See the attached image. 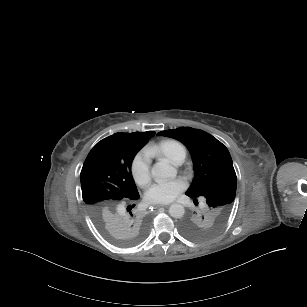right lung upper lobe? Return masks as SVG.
<instances>
[{
	"mask_svg": "<svg viewBox=\"0 0 307 307\" xmlns=\"http://www.w3.org/2000/svg\"><path fill=\"white\" fill-rule=\"evenodd\" d=\"M153 135L154 132L115 133L89 152L84 165L95 164L115 180L118 189L110 197L87 204L93 220L102 230L121 232L132 238L145 232L149 217L140 204L131 164Z\"/></svg>",
	"mask_w": 307,
	"mask_h": 307,
	"instance_id": "cb5924a9",
	"label": "right lung upper lobe"
}]
</instances>
